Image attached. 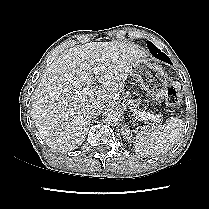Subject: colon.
Returning <instances> with one entry per match:
<instances>
[{
  "mask_svg": "<svg viewBox=\"0 0 209 209\" xmlns=\"http://www.w3.org/2000/svg\"><path fill=\"white\" fill-rule=\"evenodd\" d=\"M182 99V91L179 87L171 85L166 94L167 104L170 106H176L180 103Z\"/></svg>",
  "mask_w": 209,
  "mask_h": 209,
  "instance_id": "colon-1",
  "label": "colon"
}]
</instances>
